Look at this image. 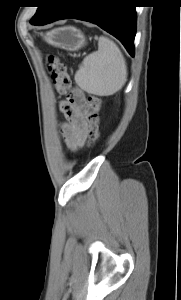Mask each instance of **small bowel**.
<instances>
[{
	"mask_svg": "<svg viewBox=\"0 0 181 300\" xmlns=\"http://www.w3.org/2000/svg\"><path fill=\"white\" fill-rule=\"evenodd\" d=\"M64 103L66 102H63L62 104ZM86 111V105L83 104L80 108L75 110L72 117H67L68 122L62 126L64 141L70 150H77L85 139L87 123L84 114Z\"/></svg>",
	"mask_w": 181,
	"mask_h": 300,
	"instance_id": "1",
	"label": "small bowel"
}]
</instances>
